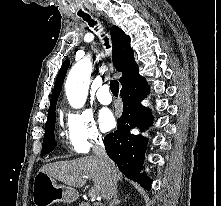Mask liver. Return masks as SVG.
Here are the masks:
<instances>
[{"label":"liver","instance_id":"1","mask_svg":"<svg viewBox=\"0 0 221 206\" xmlns=\"http://www.w3.org/2000/svg\"><path fill=\"white\" fill-rule=\"evenodd\" d=\"M39 172L57 179L72 187H81L87 179L94 181V190L105 195L109 177L113 176L117 181H122V174L117 166L111 162L110 170L104 168L98 158L81 157L73 160L56 161L41 167Z\"/></svg>","mask_w":221,"mask_h":206}]
</instances>
